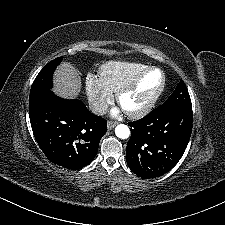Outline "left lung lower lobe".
Returning <instances> with one entry per match:
<instances>
[{
	"instance_id": "0a47b994",
	"label": "left lung lower lobe",
	"mask_w": 225,
	"mask_h": 225,
	"mask_svg": "<svg viewBox=\"0 0 225 225\" xmlns=\"http://www.w3.org/2000/svg\"><path fill=\"white\" fill-rule=\"evenodd\" d=\"M192 105L158 106L140 120L129 122V168L143 179L155 178L181 159L192 131Z\"/></svg>"
}]
</instances>
